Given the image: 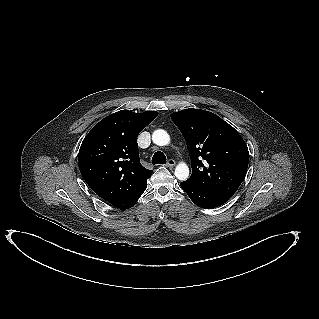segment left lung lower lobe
Masks as SVG:
<instances>
[{
    "label": "left lung lower lobe",
    "instance_id": "obj_1",
    "mask_svg": "<svg viewBox=\"0 0 319 319\" xmlns=\"http://www.w3.org/2000/svg\"><path fill=\"white\" fill-rule=\"evenodd\" d=\"M181 187L186 191L190 199L199 207L214 208L226 203L229 198L214 194L208 190L194 186L187 181L180 183Z\"/></svg>",
    "mask_w": 319,
    "mask_h": 319
}]
</instances>
